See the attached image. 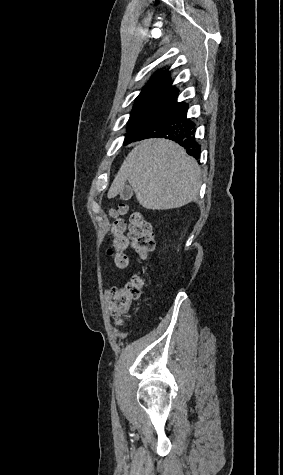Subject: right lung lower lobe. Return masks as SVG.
Instances as JSON below:
<instances>
[{"mask_svg": "<svg viewBox=\"0 0 283 475\" xmlns=\"http://www.w3.org/2000/svg\"><path fill=\"white\" fill-rule=\"evenodd\" d=\"M178 91L150 116L144 119L125 139L124 144L145 138L163 137L183 146L194 158L200 157L195 140V123L187 118L189 105L177 102Z\"/></svg>", "mask_w": 283, "mask_h": 475, "instance_id": "98d812e1", "label": "right lung lower lobe"}]
</instances>
